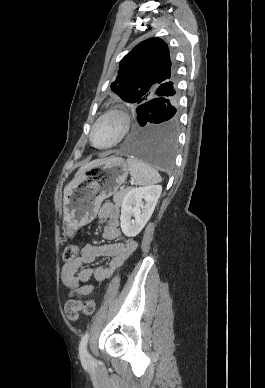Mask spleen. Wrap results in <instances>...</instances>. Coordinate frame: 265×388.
I'll return each mask as SVG.
<instances>
[{
  "instance_id": "1",
  "label": "spleen",
  "mask_w": 265,
  "mask_h": 388,
  "mask_svg": "<svg viewBox=\"0 0 265 388\" xmlns=\"http://www.w3.org/2000/svg\"><path fill=\"white\" fill-rule=\"evenodd\" d=\"M129 174L134 178L137 186H151V184H159L162 182L160 174L154 170L150 164L138 158H127Z\"/></svg>"
}]
</instances>
